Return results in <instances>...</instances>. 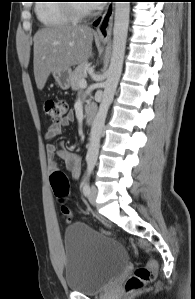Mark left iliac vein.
<instances>
[{"instance_id":"1","label":"left iliac vein","mask_w":195,"mask_h":299,"mask_svg":"<svg viewBox=\"0 0 195 299\" xmlns=\"http://www.w3.org/2000/svg\"><path fill=\"white\" fill-rule=\"evenodd\" d=\"M97 196H98V189L96 186L92 185L90 188V192L88 194V200L92 205L96 204Z\"/></svg>"}]
</instances>
